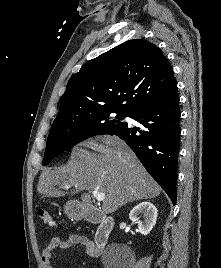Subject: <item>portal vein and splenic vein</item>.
Here are the masks:
<instances>
[{
    "mask_svg": "<svg viewBox=\"0 0 221 268\" xmlns=\"http://www.w3.org/2000/svg\"><path fill=\"white\" fill-rule=\"evenodd\" d=\"M66 189L71 188V185H65ZM93 196L96 198L97 201H103L105 199V194L103 192H99L98 190H92Z\"/></svg>",
    "mask_w": 221,
    "mask_h": 268,
    "instance_id": "1",
    "label": "portal vein and splenic vein"
}]
</instances>
